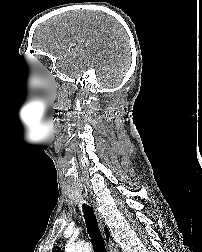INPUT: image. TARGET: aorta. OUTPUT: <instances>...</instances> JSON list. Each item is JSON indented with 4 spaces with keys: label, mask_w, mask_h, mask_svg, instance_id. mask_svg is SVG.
Segmentation results:
<instances>
[{
    "label": "aorta",
    "mask_w": 202,
    "mask_h": 252,
    "mask_svg": "<svg viewBox=\"0 0 202 252\" xmlns=\"http://www.w3.org/2000/svg\"><path fill=\"white\" fill-rule=\"evenodd\" d=\"M66 252H92V249L87 243L68 244Z\"/></svg>",
    "instance_id": "obj_1"
}]
</instances>
